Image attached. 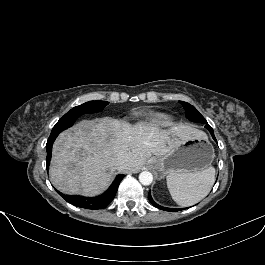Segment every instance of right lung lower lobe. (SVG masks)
I'll return each instance as SVG.
<instances>
[{
	"instance_id": "obj_1",
	"label": "right lung lower lobe",
	"mask_w": 265,
	"mask_h": 265,
	"mask_svg": "<svg viewBox=\"0 0 265 265\" xmlns=\"http://www.w3.org/2000/svg\"><path fill=\"white\" fill-rule=\"evenodd\" d=\"M77 118H72L71 120L67 121L66 123L62 124H56L51 134L48 138L47 144H46V150H47V158H46V164L47 169L50 164L51 155H52V145L56 139V137L65 129L71 127ZM124 175L120 174L117 175L113 183L110 185V187L101 195L96 197H84V196H78V195H66L58 192L67 202L71 203L72 205H75L77 207L86 208V209H102L105 208L114 198L118 186L123 179Z\"/></svg>"
}]
</instances>
